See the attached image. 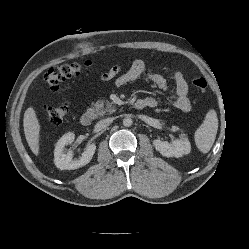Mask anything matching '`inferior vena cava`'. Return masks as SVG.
<instances>
[{
	"label": "inferior vena cava",
	"mask_w": 249,
	"mask_h": 249,
	"mask_svg": "<svg viewBox=\"0 0 249 249\" xmlns=\"http://www.w3.org/2000/svg\"><path fill=\"white\" fill-rule=\"evenodd\" d=\"M112 122H113V118L102 119V120H100V121L96 124V128H97V129H104V128H106L107 126H109Z\"/></svg>",
	"instance_id": "1"
}]
</instances>
